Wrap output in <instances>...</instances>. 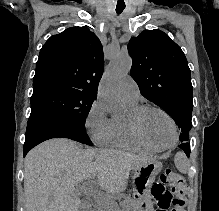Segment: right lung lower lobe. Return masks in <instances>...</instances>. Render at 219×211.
Wrapping results in <instances>:
<instances>
[{"label":"right lung lower lobe","instance_id":"right-lung-lower-lobe-1","mask_svg":"<svg viewBox=\"0 0 219 211\" xmlns=\"http://www.w3.org/2000/svg\"><path fill=\"white\" fill-rule=\"evenodd\" d=\"M69 138L80 143L92 145L86 130L69 121L58 117L36 113L31 114L28 119V125L24 144V157L39 143L51 138Z\"/></svg>","mask_w":219,"mask_h":211}]
</instances>
